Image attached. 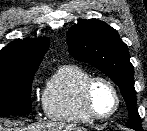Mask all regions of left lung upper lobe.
Here are the masks:
<instances>
[{
    "label": "left lung upper lobe",
    "instance_id": "1",
    "mask_svg": "<svg viewBox=\"0 0 147 131\" xmlns=\"http://www.w3.org/2000/svg\"><path fill=\"white\" fill-rule=\"evenodd\" d=\"M67 38L69 52L74 58L101 70L121 88L129 111L126 126L142 131L136 108L134 67L127 45L117 31L97 19L82 20L69 29Z\"/></svg>",
    "mask_w": 147,
    "mask_h": 131
}]
</instances>
